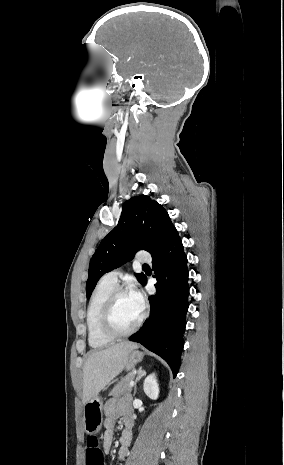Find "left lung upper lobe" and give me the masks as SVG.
Here are the masks:
<instances>
[{"instance_id": "obj_1", "label": "left lung upper lobe", "mask_w": 284, "mask_h": 465, "mask_svg": "<svg viewBox=\"0 0 284 465\" xmlns=\"http://www.w3.org/2000/svg\"><path fill=\"white\" fill-rule=\"evenodd\" d=\"M175 230L167 211L149 196H135L126 201L117 226L102 240L92 256L86 283L87 298L102 275L132 259L138 250L155 255ZM136 277L142 283L146 276L136 274Z\"/></svg>"}]
</instances>
